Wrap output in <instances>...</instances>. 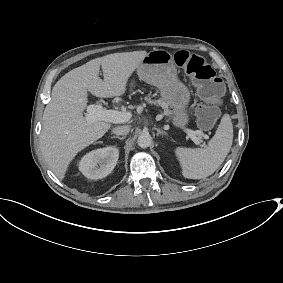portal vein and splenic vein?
I'll return each mask as SVG.
<instances>
[{"mask_svg":"<svg viewBox=\"0 0 283 283\" xmlns=\"http://www.w3.org/2000/svg\"><path fill=\"white\" fill-rule=\"evenodd\" d=\"M132 117L131 112H119L115 110H106L102 105H89L85 119L87 122L93 123L97 121H107L111 123H124L128 122ZM187 135L191 140L199 145L202 137L209 139V136L204 134L201 130L186 129ZM198 135V137H196Z\"/></svg>","mask_w":283,"mask_h":283,"instance_id":"obj_1","label":"portal vein and splenic vein"}]
</instances>
